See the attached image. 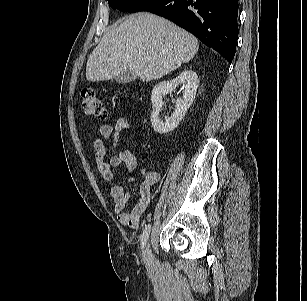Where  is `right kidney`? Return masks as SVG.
I'll return each instance as SVG.
<instances>
[{
  "instance_id": "ca27d5eb",
  "label": "right kidney",
  "mask_w": 307,
  "mask_h": 301,
  "mask_svg": "<svg viewBox=\"0 0 307 301\" xmlns=\"http://www.w3.org/2000/svg\"><path fill=\"white\" fill-rule=\"evenodd\" d=\"M179 84H182L184 88L183 97L177 99L175 110L171 117L162 122L159 119V112L163 105V97L174 91ZM198 85L199 79L196 72L191 69H185L173 80L162 81L153 88L151 95L153 106L151 123L155 132L165 134L173 131L178 126L195 98Z\"/></svg>"
}]
</instances>
